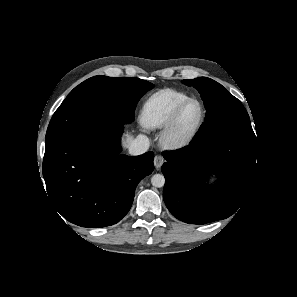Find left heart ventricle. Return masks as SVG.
Returning a JSON list of instances; mask_svg holds the SVG:
<instances>
[{
    "mask_svg": "<svg viewBox=\"0 0 297 297\" xmlns=\"http://www.w3.org/2000/svg\"><path fill=\"white\" fill-rule=\"evenodd\" d=\"M201 114L200 107L197 103L188 104L182 111L177 125L180 134L188 133L197 123Z\"/></svg>",
    "mask_w": 297,
    "mask_h": 297,
    "instance_id": "left-heart-ventricle-1",
    "label": "left heart ventricle"
}]
</instances>
